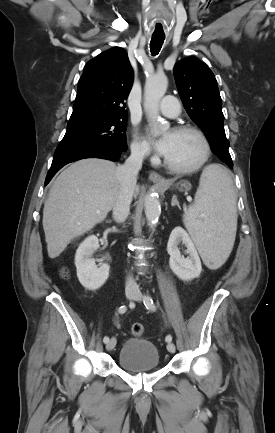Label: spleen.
<instances>
[{"label":"spleen","instance_id":"3e777b00","mask_svg":"<svg viewBox=\"0 0 275 433\" xmlns=\"http://www.w3.org/2000/svg\"><path fill=\"white\" fill-rule=\"evenodd\" d=\"M183 222L205 264L222 266L234 245L237 211L232 178L221 165L205 167Z\"/></svg>","mask_w":275,"mask_h":433}]
</instances>
